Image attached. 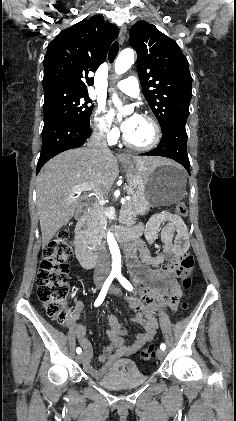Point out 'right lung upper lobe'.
I'll list each match as a JSON object with an SVG mask.
<instances>
[{"label": "right lung upper lobe", "mask_w": 236, "mask_h": 421, "mask_svg": "<svg viewBox=\"0 0 236 421\" xmlns=\"http://www.w3.org/2000/svg\"><path fill=\"white\" fill-rule=\"evenodd\" d=\"M118 28L95 15L71 26L48 45L44 57L43 87L88 92V77L105 61Z\"/></svg>", "instance_id": "cb5924a9"}]
</instances>
